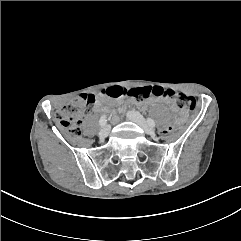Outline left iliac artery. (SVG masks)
<instances>
[{
	"label": "left iliac artery",
	"mask_w": 241,
	"mask_h": 241,
	"mask_svg": "<svg viewBox=\"0 0 241 241\" xmlns=\"http://www.w3.org/2000/svg\"><path fill=\"white\" fill-rule=\"evenodd\" d=\"M147 122L151 127H155V121L151 118H147Z\"/></svg>",
	"instance_id": "1"
}]
</instances>
